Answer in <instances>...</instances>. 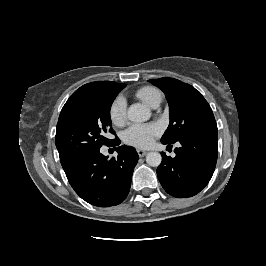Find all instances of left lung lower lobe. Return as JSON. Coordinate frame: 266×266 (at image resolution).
<instances>
[{
  "label": "left lung lower lobe",
  "instance_id": "0a47b994",
  "mask_svg": "<svg viewBox=\"0 0 266 266\" xmlns=\"http://www.w3.org/2000/svg\"><path fill=\"white\" fill-rule=\"evenodd\" d=\"M217 141L218 132H202L179 140L181 145L175 148L174 158L162 153L163 159L157 168V175L164 190L179 198L199 193L214 173L218 155Z\"/></svg>",
  "mask_w": 266,
  "mask_h": 266
}]
</instances>
